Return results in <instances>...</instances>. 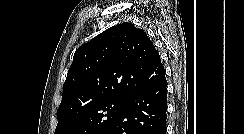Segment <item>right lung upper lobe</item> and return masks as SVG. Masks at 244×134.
Segmentation results:
<instances>
[{
  "mask_svg": "<svg viewBox=\"0 0 244 134\" xmlns=\"http://www.w3.org/2000/svg\"><path fill=\"white\" fill-rule=\"evenodd\" d=\"M164 78L160 55L147 34L129 22L113 26L74 53L57 118L104 100L128 99Z\"/></svg>",
  "mask_w": 244,
  "mask_h": 134,
  "instance_id": "1",
  "label": "right lung upper lobe"
}]
</instances>
